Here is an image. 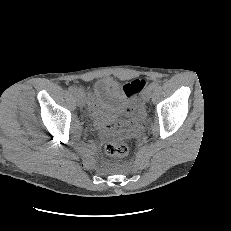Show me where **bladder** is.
<instances>
[{"instance_id": "bladder-1", "label": "bladder", "mask_w": 231, "mask_h": 231, "mask_svg": "<svg viewBox=\"0 0 231 231\" xmlns=\"http://www.w3.org/2000/svg\"><path fill=\"white\" fill-rule=\"evenodd\" d=\"M94 94L100 105L112 113H122L129 105L127 92L110 78L97 80L94 84Z\"/></svg>"}]
</instances>
